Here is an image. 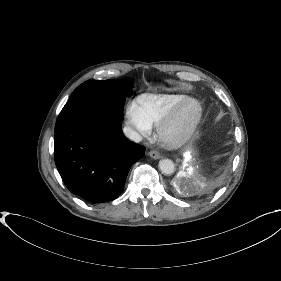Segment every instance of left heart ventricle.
Returning a JSON list of instances; mask_svg holds the SVG:
<instances>
[{
	"label": "left heart ventricle",
	"mask_w": 281,
	"mask_h": 281,
	"mask_svg": "<svg viewBox=\"0 0 281 281\" xmlns=\"http://www.w3.org/2000/svg\"><path fill=\"white\" fill-rule=\"evenodd\" d=\"M193 114H194V109L192 107L187 108L182 115L180 124L188 123L192 119Z\"/></svg>",
	"instance_id": "obj_1"
}]
</instances>
